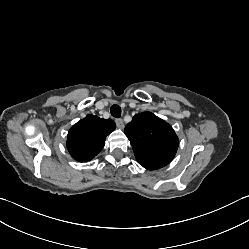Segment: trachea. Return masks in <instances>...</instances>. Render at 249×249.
Here are the masks:
<instances>
[{
	"label": "trachea",
	"instance_id": "1",
	"mask_svg": "<svg viewBox=\"0 0 249 249\" xmlns=\"http://www.w3.org/2000/svg\"><path fill=\"white\" fill-rule=\"evenodd\" d=\"M110 112L111 115L115 118H119L121 116V108L117 104L112 105Z\"/></svg>",
	"mask_w": 249,
	"mask_h": 249
}]
</instances>
